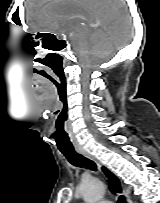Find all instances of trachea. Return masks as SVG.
<instances>
[{"label": "trachea", "mask_w": 160, "mask_h": 203, "mask_svg": "<svg viewBox=\"0 0 160 203\" xmlns=\"http://www.w3.org/2000/svg\"><path fill=\"white\" fill-rule=\"evenodd\" d=\"M62 154L67 158V160L74 166L86 167L91 170H96L97 166L94 161L84 157L83 155L77 153L75 150H61ZM118 203H126L124 196L118 198Z\"/></svg>", "instance_id": "trachea-1"}]
</instances>
